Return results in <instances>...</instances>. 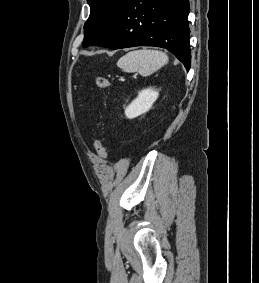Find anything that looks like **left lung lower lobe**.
Here are the masks:
<instances>
[{"instance_id":"left-lung-lower-lobe-1","label":"left lung lower lobe","mask_w":259,"mask_h":283,"mask_svg":"<svg viewBox=\"0 0 259 283\" xmlns=\"http://www.w3.org/2000/svg\"><path fill=\"white\" fill-rule=\"evenodd\" d=\"M189 0H127L107 34L95 46L121 49L156 46L191 65Z\"/></svg>"}]
</instances>
